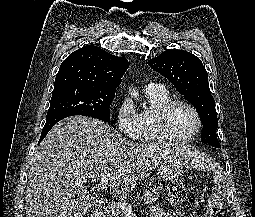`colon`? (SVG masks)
Returning a JSON list of instances; mask_svg holds the SVG:
<instances>
[{"label": "colon", "instance_id": "5ec220e1", "mask_svg": "<svg viewBox=\"0 0 255 217\" xmlns=\"http://www.w3.org/2000/svg\"><path fill=\"white\" fill-rule=\"evenodd\" d=\"M186 199V190L179 181L171 182L169 185V200L173 204L181 203ZM220 200L216 194H212L208 200V208L212 213L219 211Z\"/></svg>", "mask_w": 255, "mask_h": 217}]
</instances>
